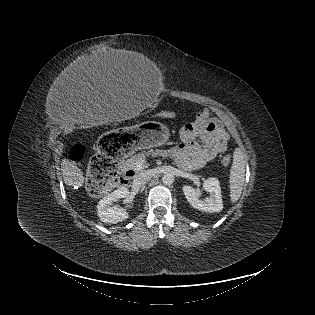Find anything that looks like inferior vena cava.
<instances>
[{"label":"inferior vena cava","mask_w":315,"mask_h":315,"mask_svg":"<svg viewBox=\"0 0 315 315\" xmlns=\"http://www.w3.org/2000/svg\"><path fill=\"white\" fill-rule=\"evenodd\" d=\"M153 177L151 170H145L140 172L133 180L134 185L143 186Z\"/></svg>","instance_id":"obj_1"}]
</instances>
